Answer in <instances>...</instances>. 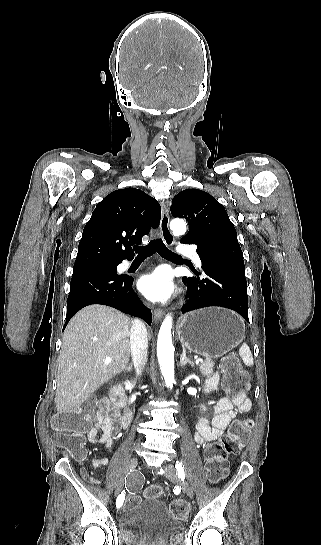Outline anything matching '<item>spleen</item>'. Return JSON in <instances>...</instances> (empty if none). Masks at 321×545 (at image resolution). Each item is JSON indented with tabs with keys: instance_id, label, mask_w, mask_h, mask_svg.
Returning <instances> with one entry per match:
<instances>
[{
	"instance_id": "1",
	"label": "spleen",
	"mask_w": 321,
	"mask_h": 545,
	"mask_svg": "<svg viewBox=\"0 0 321 545\" xmlns=\"http://www.w3.org/2000/svg\"><path fill=\"white\" fill-rule=\"evenodd\" d=\"M239 355H240V357H242V361H243L244 365H247V367H251V365H253V363H254L253 357H252L251 351H250L248 345H246V343H243V345H241V347L239 349Z\"/></svg>"
}]
</instances>
